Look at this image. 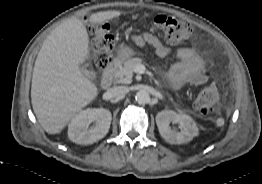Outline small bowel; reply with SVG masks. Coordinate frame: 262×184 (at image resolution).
<instances>
[{
  "mask_svg": "<svg viewBox=\"0 0 262 184\" xmlns=\"http://www.w3.org/2000/svg\"><path fill=\"white\" fill-rule=\"evenodd\" d=\"M131 39L138 46L154 48L156 54L161 58L166 57L170 52V49L159 38L149 32L134 34ZM176 56L178 62L169 71V77L176 87L185 84L200 86L208 82L205 64L192 48L181 46L177 49Z\"/></svg>",
  "mask_w": 262,
  "mask_h": 184,
  "instance_id": "1",
  "label": "small bowel"
}]
</instances>
